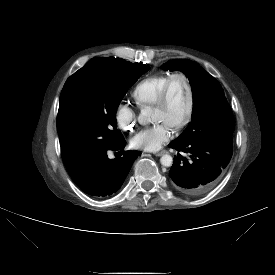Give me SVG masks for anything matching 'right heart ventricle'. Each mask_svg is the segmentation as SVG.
Returning a JSON list of instances; mask_svg holds the SVG:
<instances>
[{
    "mask_svg": "<svg viewBox=\"0 0 275 275\" xmlns=\"http://www.w3.org/2000/svg\"><path fill=\"white\" fill-rule=\"evenodd\" d=\"M168 73L154 74L141 80L133 89L132 97L138 107L153 106L169 79Z\"/></svg>",
    "mask_w": 275,
    "mask_h": 275,
    "instance_id": "1",
    "label": "right heart ventricle"
}]
</instances>
